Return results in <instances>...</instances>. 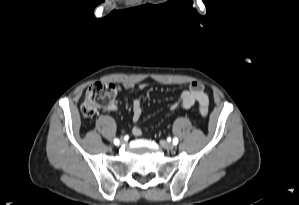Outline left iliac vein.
Returning a JSON list of instances; mask_svg holds the SVG:
<instances>
[{
  "label": "left iliac vein",
  "mask_w": 299,
  "mask_h": 205,
  "mask_svg": "<svg viewBox=\"0 0 299 205\" xmlns=\"http://www.w3.org/2000/svg\"><path fill=\"white\" fill-rule=\"evenodd\" d=\"M160 145L166 150H172L175 145L171 142H167L165 140H160Z\"/></svg>",
  "instance_id": "1"
}]
</instances>
